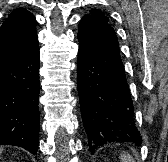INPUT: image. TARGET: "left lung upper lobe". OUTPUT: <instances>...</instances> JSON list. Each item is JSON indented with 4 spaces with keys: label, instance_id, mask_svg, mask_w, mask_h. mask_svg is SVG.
Listing matches in <instances>:
<instances>
[{
    "label": "left lung upper lobe",
    "instance_id": "1",
    "mask_svg": "<svg viewBox=\"0 0 168 162\" xmlns=\"http://www.w3.org/2000/svg\"><path fill=\"white\" fill-rule=\"evenodd\" d=\"M90 14L99 16V17H101V18L109 21V19L104 15V13L101 12L100 10H98V9H92V10H90Z\"/></svg>",
    "mask_w": 168,
    "mask_h": 162
}]
</instances>
